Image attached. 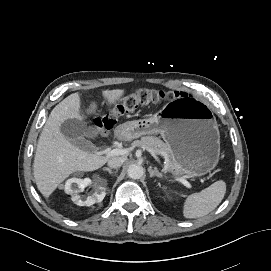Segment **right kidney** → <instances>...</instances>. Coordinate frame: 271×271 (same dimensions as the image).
I'll list each match as a JSON object with an SVG mask.
<instances>
[{"instance_id": "right-kidney-1", "label": "right kidney", "mask_w": 271, "mask_h": 271, "mask_svg": "<svg viewBox=\"0 0 271 271\" xmlns=\"http://www.w3.org/2000/svg\"><path fill=\"white\" fill-rule=\"evenodd\" d=\"M92 184L91 179L70 178L65 182V192L72 195V200L79 206H91L96 202H101L105 197L104 188L100 185H94V193L83 199L78 195L79 191Z\"/></svg>"}]
</instances>
